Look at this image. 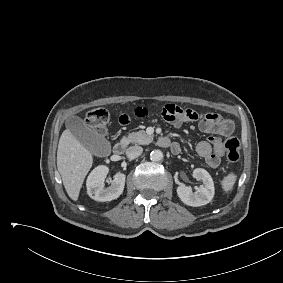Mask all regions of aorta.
I'll return each instance as SVG.
<instances>
[{
  "label": "aorta",
  "mask_w": 283,
  "mask_h": 283,
  "mask_svg": "<svg viewBox=\"0 0 283 283\" xmlns=\"http://www.w3.org/2000/svg\"><path fill=\"white\" fill-rule=\"evenodd\" d=\"M150 159L154 162H158L163 159V153L161 150H153L150 153Z\"/></svg>",
  "instance_id": "762f6f07"
}]
</instances>
